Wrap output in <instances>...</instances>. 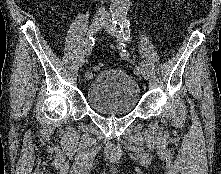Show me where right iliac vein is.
Returning a JSON list of instances; mask_svg holds the SVG:
<instances>
[{"label":"right iliac vein","instance_id":"obj_1","mask_svg":"<svg viewBox=\"0 0 221 174\" xmlns=\"http://www.w3.org/2000/svg\"><path fill=\"white\" fill-rule=\"evenodd\" d=\"M103 24H104V21L102 19H99V18L94 19L89 27L88 36L95 35L99 31V29L101 28V26ZM84 62H85V60L82 57L79 61L80 66H83Z\"/></svg>","mask_w":221,"mask_h":174}]
</instances>
